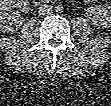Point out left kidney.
<instances>
[{
	"mask_svg": "<svg viewBox=\"0 0 111 106\" xmlns=\"http://www.w3.org/2000/svg\"><path fill=\"white\" fill-rule=\"evenodd\" d=\"M88 12L93 17L91 18L95 23H99L102 27L111 26V7L108 5L92 6Z\"/></svg>",
	"mask_w": 111,
	"mask_h": 106,
	"instance_id": "1",
	"label": "left kidney"
}]
</instances>
